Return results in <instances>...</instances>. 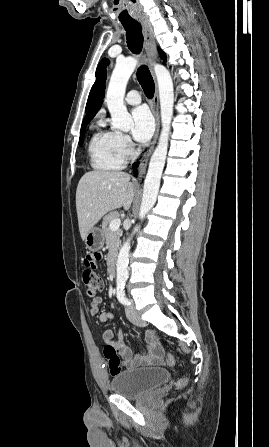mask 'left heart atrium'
Listing matches in <instances>:
<instances>
[{
  "label": "left heart atrium",
  "instance_id": "39dd6f15",
  "mask_svg": "<svg viewBox=\"0 0 269 447\" xmlns=\"http://www.w3.org/2000/svg\"><path fill=\"white\" fill-rule=\"evenodd\" d=\"M154 132V119L146 106H140L132 111V135L138 142L149 140Z\"/></svg>",
  "mask_w": 269,
  "mask_h": 447
}]
</instances>
